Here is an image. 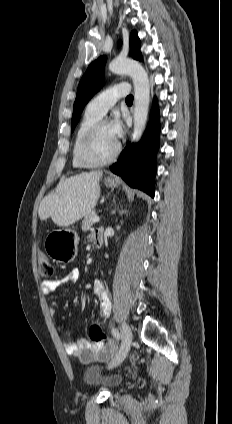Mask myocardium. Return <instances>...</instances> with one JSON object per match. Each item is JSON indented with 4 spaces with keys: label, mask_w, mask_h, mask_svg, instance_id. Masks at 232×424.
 Returning a JSON list of instances; mask_svg holds the SVG:
<instances>
[{
    "label": "myocardium",
    "mask_w": 232,
    "mask_h": 424,
    "mask_svg": "<svg viewBox=\"0 0 232 424\" xmlns=\"http://www.w3.org/2000/svg\"><path fill=\"white\" fill-rule=\"evenodd\" d=\"M106 124H109V122L106 119L100 118L95 123L91 125V127L87 130V132L84 134L83 138L80 141L79 147H78V157L80 161L87 167H100L107 164L112 163L119 155L121 150V144L117 142L116 148L114 152L105 159H94L91 157L89 150L90 147L99 132V130Z\"/></svg>",
    "instance_id": "obj_1"
}]
</instances>
